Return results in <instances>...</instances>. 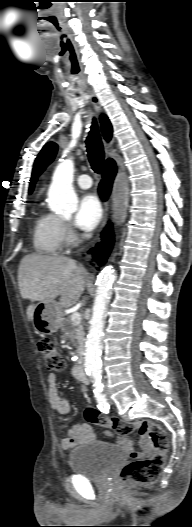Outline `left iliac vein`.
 Instances as JSON below:
<instances>
[{
  "label": "left iliac vein",
  "mask_w": 192,
  "mask_h": 527,
  "mask_svg": "<svg viewBox=\"0 0 192 527\" xmlns=\"http://www.w3.org/2000/svg\"><path fill=\"white\" fill-rule=\"evenodd\" d=\"M107 394H108V393H107ZM108 401H109V403H112V400H111L109 397H108Z\"/></svg>",
  "instance_id": "1"
}]
</instances>
